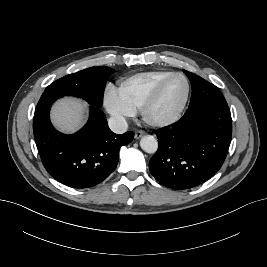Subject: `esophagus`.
Returning a JSON list of instances; mask_svg holds the SVG:
<instances>
[{"instance_id": "esophagus-1", "label": "esophagus", "mask_w": 267, "mask_h": 267, "mask_svg": "<svg viewBox=\"0 0 267 267\" xmlns=\"http://www.w3.org/2000/svg\"><path fill=\"white\" fill-rule=\"evenodd\" d=\"M144 134H145L144 131H142V130H137V131L135 132V138H136V139H139V138H141Z\"/></svg>"}]
</instances>
